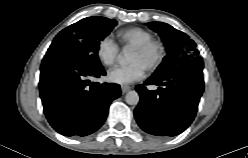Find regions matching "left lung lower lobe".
Wrapping results in <instances>:
<instances>
[{
	"mask_svg": "<svg viewBox=\"0 0 248 158\" xmlns=\"http://www.w3.org/2000/svg\"><path fill=\"white\" fill-rule=\"evenodd\" d=\"M202 70V59L193 58L136 86L140 102L134 116L140 128L156 136L182 133L192 123L204 90ZM145 85L159 87L150 91Z\"/></svg>",
	"mask_w": 248,
	"mask_h": 158,
	"instance_id": "1",
	"label": "left lung lower lobe"
}]
</instances>
